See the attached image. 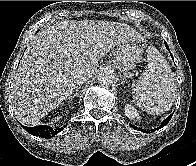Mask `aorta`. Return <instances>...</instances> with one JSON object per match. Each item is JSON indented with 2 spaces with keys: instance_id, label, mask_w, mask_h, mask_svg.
Instances as JSON below:
<instances>
[{
  "instance_id": "1",
  "label": "aorta",
  "mask_w": 196,
  "mask_h": 166,
  "mask_svg": "<svg viewBox=\"0 0 196 166\" xmlns=\"http://www.w3.org/2000/svg\"><path fill=\"white\" fill-rule=\"evenodd\" d=\"M97 79L103 85H110L114 82L115 74L110 69H104L100 71Z\"/></svg>"
}]
</instances>
